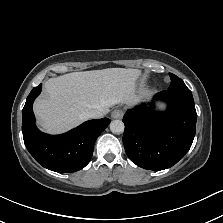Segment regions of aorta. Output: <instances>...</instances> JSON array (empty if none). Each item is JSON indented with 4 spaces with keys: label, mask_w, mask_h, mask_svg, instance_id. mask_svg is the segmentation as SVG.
<instances>
[{
    "label": "aorta",
    "mask_w": 223,
    "mask_h": 223,
    "mask_svg": "<svg viewBox=\"0 0 223 223\" xmlns=\"http://www.w3.org/2000/svg\"><path fill=\"white\" fill-rule=\"evenodd\" d=\"M110 130L113 133H122L124 131V123L121 120H113L110 123Z\"/></svg>",
    "instance_id": "1"
}]
</instances>
